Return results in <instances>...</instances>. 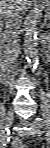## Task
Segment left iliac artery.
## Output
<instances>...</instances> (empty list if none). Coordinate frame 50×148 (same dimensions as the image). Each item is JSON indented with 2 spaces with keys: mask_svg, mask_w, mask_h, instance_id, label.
Returning <instances> with one entry per match:
<instances>
[{
  "mask_svg": "<svg viewBox=\"0 0 50 148\" xmlns=\"http://www.w3.org/2000/svg\"><path fill=\"white\" fill-rule=\"evenodd\" d=\"M36 123H37L40 127L44 126V121H43V119H41V118H36Z\"/></svg>",
  "mask_w": 50,
  "mask_h": 148,
  "instance_id": "obj_1",
  "label": "left iliac artery"
}]
</instances>
